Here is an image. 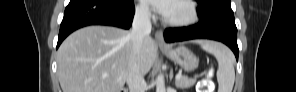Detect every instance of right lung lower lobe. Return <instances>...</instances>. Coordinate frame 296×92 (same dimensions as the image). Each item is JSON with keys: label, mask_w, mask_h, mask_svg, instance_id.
I'll return each mask as SVG.
<instances>
[{"label": "right lung lower lobe", "mask_w": 296, "mask_h": 92, "mask_svg": "<svg viewBox=\"0 0 296 92\" xmlns=\"http://www.w3.org/2000/svg\"><path fill=\"white\" fill-rule=\"evenodd\" d=\"M135 13L133 0H70L60 26L57 48L73 31L88 25L130 28Z\"/></svg>", "instance_id": "right-lung-lower-lobe-1"}]
</instances>
